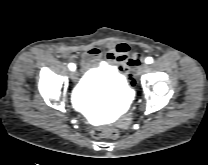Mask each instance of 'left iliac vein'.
<instances>
[{
    "label": "left iliac vein",
    "instance_id": "1",
    "mask_svg": "<svg viewBox=\"0 0 208 165\" xmlns=\"http://www.w3.org/2000/svg\"><path fill=\"white\" fill-rule=\"evenodd\" d=\"M147 68H148L147 64H145V63L141 64L137 69L138 75L143 74L147 70Z\"/></svg>",
    "mask_w": 208,
    "mask_h": 165
}]
</instances>
